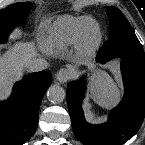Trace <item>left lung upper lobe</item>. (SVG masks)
I'll use <instances>...</instances> for the list:
<instances>
[{
    "instance_id": "1",
    "label": "left lung upper lobe",
    "mask_w": 145,
    "mask_h": 145,
    "mask_svg": "<svg viewBox=\"0 0 145 145\" xmlns=\"http://www.w3.org/2000/svg\"><path fill=\"white\" fill-rule=\"evenodd\" d=\"M110 21L109 40L104 51L113 57H131L145 60V54L134 30L124 14L116 7L106 8Z\"/></svg>"
}]
</instances>
